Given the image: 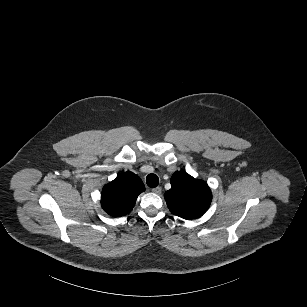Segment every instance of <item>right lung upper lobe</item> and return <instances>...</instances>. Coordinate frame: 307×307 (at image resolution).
Instances as JSON below:
<instances>
[{"label": "right lung upper lobe", "instance_id": "cb5924a9", "mask_svg": "<svg viewBox=\"0 0 307 307\" xmlns=\"http://www.w3.org/2000/svg\"><path fill=\"white\" fill-rule=\"evenodd\" d=\"M145 190L141 179L127 171L103 187L101 205L113 217L124 216L134 207L136 199Z\"/></svg>", "mask_w": 307, "mask_h": 307}]
</instances>
